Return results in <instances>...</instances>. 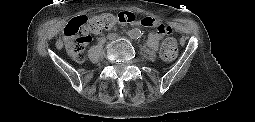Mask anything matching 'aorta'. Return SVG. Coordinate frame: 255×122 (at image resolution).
<instances>
[{
  "instance_id": "1",
  "label": "aorta",
  "mask_w": 255,
  "mask_h": 122,
  "mask_svg": "<svg viewBox=\"0 0 255 122\" xmlns=\"http://www.w3.org/2000/svg\"><path fill=\"white\" fill-rule=\"evenodd\" d=\"M131 38L137 39L141 36V31L138 28H134L128 32Z\"/></svg>"
}]
</instances>
